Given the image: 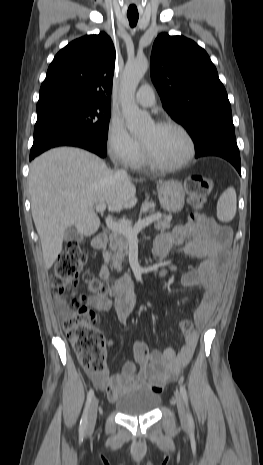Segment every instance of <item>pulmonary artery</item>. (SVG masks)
Here are the masks:
<instances>
[{"label":"pulmonary artery","instance_id":"pulmonary-artery-1","mask_svg":"<svg viewBox=\"0 0 263 465\" xmlns=\"http://www.w3.org/2000/svg\"><path fill=\"white\" fill-rule=\"evenodd\" d=\"M136 102L144 107H150L155 104V94L150 85H142L135 95Z\"/></svg>","mask_w":263,"mask_h":465}]
</instances>
